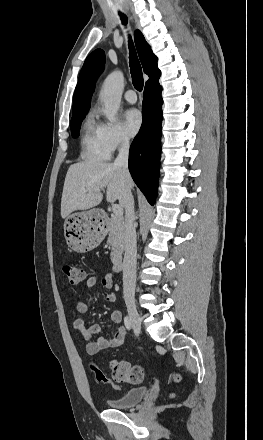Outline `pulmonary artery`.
I'll list each match as a JSON object with an SVG mask.
<instances>
[{"label":"pulmonary artery","mask_w":263,"mask_h":440,"mask_svg":"<svg viewBox=\"0 0 263 440\" xmlns=\"http://www.w3.org/2000/svg\"><path fill=\"white\" fill-rule=\"evenodd\" d=\"M124 98L129 103H135L137 101V95L133 90H128L124 93Z\"/></svg>","instance_id":"e3ab8cb5"}]
</instances>
